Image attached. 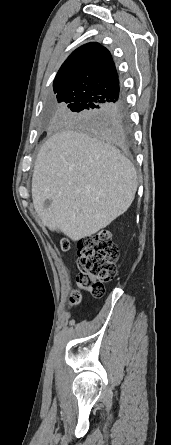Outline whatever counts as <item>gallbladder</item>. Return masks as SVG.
<instances>
[{
    "instance_id": "1",
    "label": "gallbladder",
    "mask_w": 171,
    "mask_h": 445,
    "mask_svg": "<svg viewBox=\"0 0 171 445\" xmlns=\"http://www.w3.org/2000/svg\"><path fill=\"white\" fill-rule=\"evenodd\" d=\"M50 204H51V201L47 199V200L44 201L43 206H44L45 208H47V207L50 206Z\"/></svg>"
}]
</instances>
